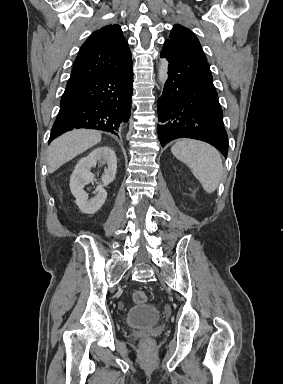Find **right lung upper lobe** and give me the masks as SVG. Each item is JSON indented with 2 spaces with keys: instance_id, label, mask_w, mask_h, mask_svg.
Listing matches in <instances>:
<instances>
[{
  "instance_id": "cb5924a9",
  "label": "right lung upper lobe",
  "mask_w": 283,
  "mask_h": 384,
  "mask_svg": "<svg viewBox=\"0 0 283 384\" xmlns=\"http://www.w3.org/2000/svg\"><path fill=\"white\" fill-rule=\"evenodd\" d=\"M132 65L131 51L121 27L107 25L95 31L81 46L67 86Z\"/></svg>"
}]
</instances>
